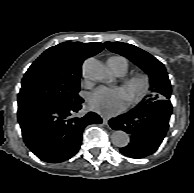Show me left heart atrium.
Masks as SVG:
<instances>
[{
	"label": "left heart atrium",
	"instance_id": "1",
	"mask_svg": "<svg viewBox=\"0 0 194 193\" xmlns=\"http://www.w3.org/2000/svg\"><path fill=\"white\" fill-rule=\"evenodd\" d=\"M91 110L111 116L121 112L127 103L126 91L120 87H99L89 97Z\"/></svg>",
	"mask_w": 194,
	"mask_h": 193
}]
</instances>
